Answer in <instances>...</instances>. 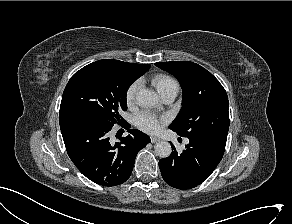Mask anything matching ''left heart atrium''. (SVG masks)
<instances>
[{
    "instance_id": "left-heart-atrium-1",
    "label": "left heart atrium",
    "mask_w": 292,
    "mask_h": 224,
    "mask_svg": "<svg viewBox=\"0 0 292 224\" xmlns=\"http://www.w3.org/2000/svg\"><path fill=\"white\" fill-rule=\"evenodd\" d=\"M165 122L166 120L164 118H158L149 111H142L135 117L137 127L148 133L158 132Z\"/></svg>"
}]
</instances>
